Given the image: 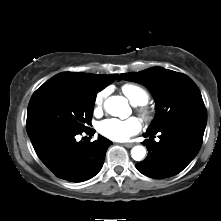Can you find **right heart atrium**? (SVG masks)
Listing matches in <instances>:
<instances>
[{
	"mask_svg": "<svg viewBox=\"0 0 221 221\" xmlns=\"http://www.w3.org/2000/svg\"><path fill=\"white\" fill-rule=\"evenodd\" d=\"M107 94H108V91H107V90H103V91H100V92L96 95L95 101H94V110H95L96 112L101 111Z\"/></svg>",
	"mask_w": 221,
	"mask_h": 221,
	"instance_id": "right-heart-atrium-1",
	"label": "right heart atrium"
}]
</instances>
